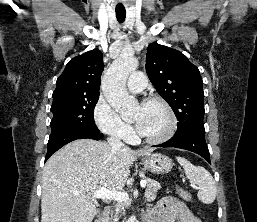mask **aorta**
I'll return each mask as SVG.
<instances>
[{
    "instance_id": "aorta-1",
    "label": "aorta",
    "mask_w": 257,
    "mask_h": 222,
    "mask_svg": "<svg viewBox=\"0 0 257 222\" xmlns=\"http://www.w3.org/2000/svg\"><path fill=\"white\" fill-rule=\"evenodd\" d=\"M137 66L138 61L133 53L122 51L102 78L101 87L104 97L111 107L122 116L134 111L138 106L137 99L129 95L126 89L127 78L136 70ZM127 222L138 221L135 216H131Z\"/></svg>"
}]
</instances>
